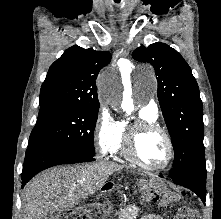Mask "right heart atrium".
Returning <instances> with one entry per match:
<instances>
[{
	"label": "right heart atrium",
	"instance_id": "1",
	"mask_svg": "<svg viewBox=\"0 0 221 219\" xmlns=\"http://www.w3.org/2000/svg\"><path fill=\"white\" fill-rule=\"evenodd\" d=\"M119 121L112 115L106 107L100 109V113L95 124V142L100 154L110 153L118 132Z\"/></svg>",
	"mask_w": 221,
	"mask_h": 219
}]
</instances>
